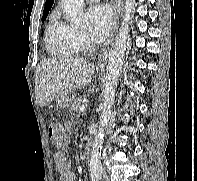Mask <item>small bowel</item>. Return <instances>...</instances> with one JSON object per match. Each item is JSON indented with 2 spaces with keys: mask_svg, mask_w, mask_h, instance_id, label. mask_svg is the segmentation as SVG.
I'll use <instances>...</instances> for the list:
<instances>
[{
  "mask_svg": "<svg viewBox=\"0 0 197 181\" xmlns=\"http://www.w3.org/2000/svg\"><path fill=\"white\" fill-rule=\"evenodd\" d=\"M55 169L59 173V181H75V174L64 151H57L53 156Z\"/></svg>",
  "mask_w": 197,
  "mask_h": 181,
  "instance_id": "1",
  "label": "small bowel"
}]
</instances>
